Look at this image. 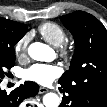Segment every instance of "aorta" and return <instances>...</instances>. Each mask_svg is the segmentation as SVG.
<instances>
[{
  "label": "aorta",
  "mask_w": 107,
  "mask_h": 107,
  "mask_svg": "<svg viewBox=\"0 0 107 107\" xmlns=\"http://www.w3.org/2000/svg\"><path fill=\"white\" fill-rule=\"evenodd\" d=\"M49 53V46L40 42L32 43L28 47L29 56L37 61H47ZM43 104L45 107H58L60 105V98L55 93H47L43 97Z\"/></svg>",
  "instance_id": "1"
}]
</instances>
